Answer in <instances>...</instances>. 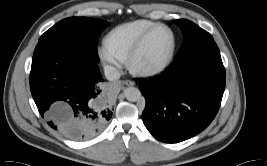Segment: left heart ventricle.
Instances as JSON below:
<instances>
[{
  "label": "left heart ventricle",
  "mask_w": 267,
  "mask_h": 166,
  "mask_svg": "<svg viewBox=\"0 0 267 166\" xmlns=\"http://www.w3.org/2000/svg\"><path fill=\"white\" fill-rule=\"evenodd\" d=\"M171 43L172 38L168 30H156L138 55L136 64L139 67H152L162 63L170 52Z\"/></svg>",
  "instance_id": "left-heart-ventricle-1"
}]
</instances>
